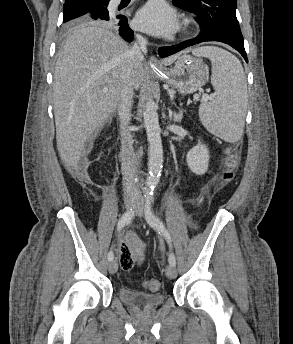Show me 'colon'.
<instances>
[{
	"label": "colon",
	"instance_id": "colon-1",
	"mask_svg": "<svg viewBox=\"0 0 293 344\" xmlns=\"http://www.w3.org/2000/svg\"><path fill=\"white\" fill-rule=\"evenodd\" d=\"M226 153V161H225V169L223 171L222 179L224 182H230L233 180L236 170L239 164V151L238 148L234 145H230L225 150ZM146 287L151 290L155 291L159 288L160 284L155 279H150L145 283Z\"/></svg>",
	"mask_w": 293,
	"mask_h": 344
}]
</instances>
